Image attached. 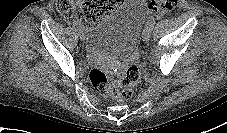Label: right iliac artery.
<instances>
[{
  "label": "right iliac artery",
  "mask_w": 227,
  "mask_h": 133,
  "mask_svg": "<svg viewBox=\"0 0 227 133\" xmlns=\"http://www.w3.org/2000/svg\"><path fill=\"white\" fill-rule=\"evenodd\" d=\"M73 27L77 30H80V26L76 21L73 22Z\"/></svg>",
  "instance_id": "right-iliac-artery-1"
}]
</instances>
